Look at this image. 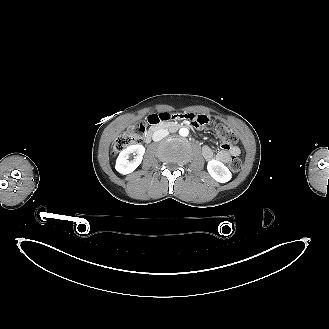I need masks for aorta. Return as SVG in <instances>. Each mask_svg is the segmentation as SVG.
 Instances as JSON below:
<instances>
[{
	"label": "aorta",
	"mask_w": 329,
	"mask_h": 329,
	"mask_svg": "<svg viewBox=\"0 0 329 329\" xmlns=\"http://www.w3.org/2000/svg\"><path fill=\"white\" fill-rule=\"evenodd\" d=\"M188 134H189V130L187 128L183 127L179 130V135L180 136L186 137V136H188Z\"/></svg>",
	"instance_id": "obj_1"
}]
</instances>
